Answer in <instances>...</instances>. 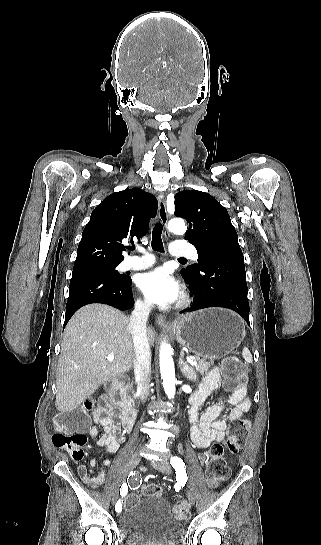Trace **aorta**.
<instances>
[{
  "instance_id": "obj_1",
  "label": "aorta",
  "mask_w": 321,
  "mask_h": 545,
  "mask_svg": "<svg viewBox=\"0 0 321 545\" xmlns=\"http://www.w3.org/2000/svg\"><path fill=\"white\" fill-rule=\"evenodd\" d=\"M168 228L174 234H184L187 230L185 222L181 219H172L168 223ZM172 348L169 344L163 343L160 349V371L163 379L164 391L168 398L172 399L175 396V369L174 362L171 356Z\"/></svg>"
}]
</instances>
